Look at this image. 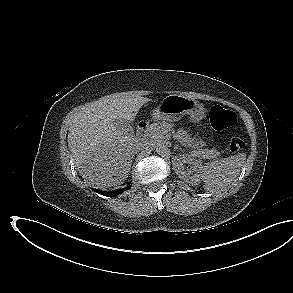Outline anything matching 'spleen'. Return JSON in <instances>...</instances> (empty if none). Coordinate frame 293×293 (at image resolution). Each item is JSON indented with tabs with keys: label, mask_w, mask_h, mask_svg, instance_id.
I'll return each mask as SVG.
<instances>
[{
	"label": "spleen",
	"mask_w": 293,
	"mask_h": 293,
	"mask_svg": "<svg viewBox=\"0 0 293 293\" xmlns=\"http://www.w3.org/2000/svg\"><path fill=\"white\" fill-rule=\"evenodd\" d=\"M245 159V153H238L205 165L200 173V178L204 182V189L215 192L226 188L239 174Z\"/></svg>",
	"instance_id": "3e777b00"
}]
</instances>
